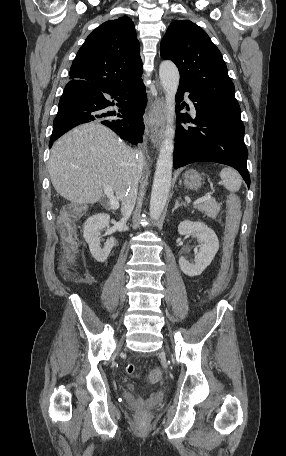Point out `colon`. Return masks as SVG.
I'll use <instances>...</instances> for the list:
<instances>
[{"mask_svg": "<svg viewBox=\"0 0 286 456\" xmlns=\"http://www.w3.org/2000/svg\"><path fill=\"white\" fill-rule=\"evenodd\" d=\"M227 203L229 219L226 227L225 250L219 276L209 292V298L211 299L217 296L220 293V291L225 287L232 270V245L237 229L240 203L239 199L235 195H229ZM75 249L76 242L74 239V234L72 231H69L65 235V254L66 259L68 261L72 259ZM126 372L129 375H134L136 372L135 365L128 364L126 367ZM161 379L162 371L158 368L152 369L148 374V381L150 383H157Z\"/></svg>", "mask_w": 286, "mask_h": 456, "instance_id": "obj_1", "label": "colon"}]
</instances>
